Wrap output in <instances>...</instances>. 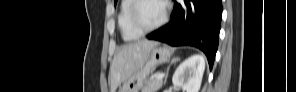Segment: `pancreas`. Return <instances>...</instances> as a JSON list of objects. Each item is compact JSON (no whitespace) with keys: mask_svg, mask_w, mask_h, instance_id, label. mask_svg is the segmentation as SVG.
Listing matches in <instances>:
<instances>
[{"mask_svg":"<svg viewBox=\"0 0 296 92\" xmlns=\"http://www.w3.org/2000/svg\"><path fill=\"white\" fill-rule=\"evenodd\" d=\"M163 85L162 80H157V77H152L146 81L141 92H157Z\"/></svg>","mask_w":296,"mask_h":92,"instance_id":"obj_1","label":"pancreas"}]
</instances>
